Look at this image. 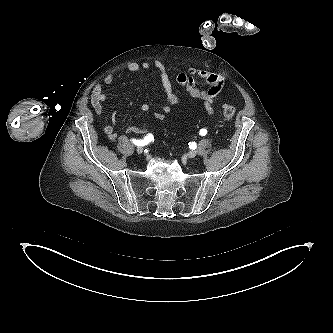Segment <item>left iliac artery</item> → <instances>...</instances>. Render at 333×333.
<instances>
[{"label": "left iliac artery", "instance_id": "44dca946", "mask_svg": "<svg viewBox=\"0 0 333 333\" xmlns=\"http://www.w3.org/2000/svg\"><path fill=\"white\" fill-rule=\"evenodd\" d=\"M199 134L201 136H205L207 134V130L206 129H201L200 132H199Z\"/></svg>", "mask_w": 333, "mask_h": 333}]
</instances>
